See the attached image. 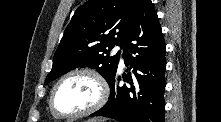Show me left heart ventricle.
Listing matches in <instances>:
<instances>
[{
	"mask_svg": "<svg viewBox=\"0 0 221 122\" xmlns=\"http://www.w3.org/2000/svg\"><path fill=\"white\" fill-rule=\"evenodd\" d=\"M98 95V86L91 77L76 75L60 84L55 92L54 104L60 112L76 113L94 104Z\"/></svg>",
	"mask_w": 221,
	"mask_h": 122,
	"instance_id": "b2bd125f",
	"label": "left heart ventricle"
}]
</instances>
